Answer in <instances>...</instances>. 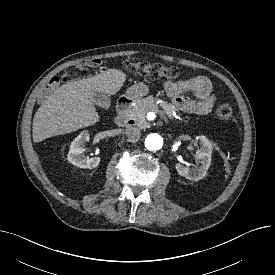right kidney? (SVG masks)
Here are the masks:
<instances>
[{
	"label": "right kidney",
	"instance_id": "obj_1",
	"mask_svg": "<svg viewBox=\"0 0 275 275\" xmlns=\"http://www.w3.org/2000/svg\"><path fill=\"white\" fill-rule=\"evenodd\" d=\"M90 135L87 131H82L70 144L67 159L79 168H96L100 163V157L84 158L82 153L85 142H88Z\"/></svg>",
	"mask_w": 275,
	"mask_h": 275
}]
</instances>
